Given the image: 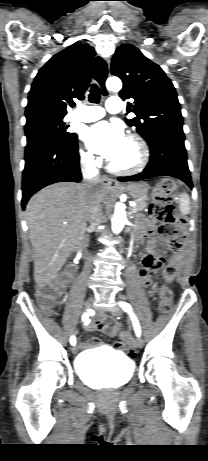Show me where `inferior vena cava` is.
<instances>
[{
    "label": "inferior vena cava",
    "instance_id": "602c4592",
    "mask_svg": "<svg viewBox=\"0 0 208 461\" xmlns=\"http://www.w3.org/2000/svg\"><path fill=\"white\" fill-rule=\"evenodd\" d=\"M82 173L85 180L84 186L88 190L89 215L87 221L90 227L97 228L102 221L103 213L100 206V200L97 196V185L99 183L98 169L94 163V157L87 155L81 159Z\"/></svg>",
    "mask_w": 208,
    "mask_h": 461
}]
</instances>
